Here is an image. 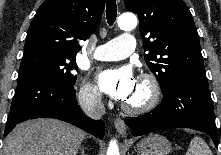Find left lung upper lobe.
I'll list each match as a JSON object with an SVG mask.
<instances>
[{
	"label": "left lung upper lobe",
	"instance_id": "left-lung-upper-lobe-1",
	"mask_svg": "<svg viewBox=\"0 0 221 155\" xmlns=\"http://www.w3.org/2000/svg\"><path fill=\"white\" fill-rule=\"evenodd\" d=\"M125 6L138 14L145 60L163 95L181 78L205 75L199 35L183 0H125Z\"/></svg>",
	"mask_w": 221,
	"mask_h": 155
}]
</instances>
